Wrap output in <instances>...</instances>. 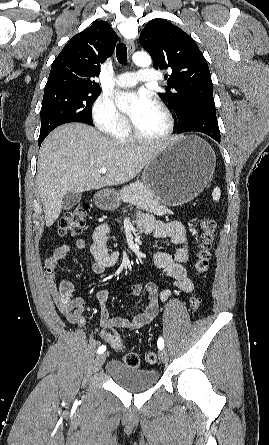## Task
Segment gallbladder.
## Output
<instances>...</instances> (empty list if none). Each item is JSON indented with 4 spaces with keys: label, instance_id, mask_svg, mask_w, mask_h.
I'll use <instances>...</instances> for the list:
<instances>
[{
    "label": "gallbladder",
    "instance_id": "1",
    "mask_svg": "<svg viewBox=\"0 0 269 445\" xmlns=\"http://www.w3.org/2000/svg\"><path fill=\"white\" fill-rule=\"evenodd\" d=\"M81 197V193L67 192L63 197L62 208L64 210L71 209L80 202Z\"/></svg>",
    "mask_w": 269,
    "mask_h": 445
}]
</instances>
